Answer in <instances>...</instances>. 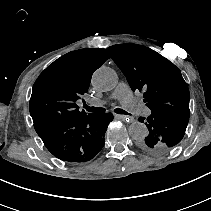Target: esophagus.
I'll use <instances>...</instances> for the list:
<instances>
[{"mask_svg": "<svg viewBox=\"0 0 211 211\" xmlns=\"http://www.w3.org/2000/svg\"><path fill=\"white\" fill-rule=\"evenodd\" d=\"M115 117L118 118V119L124 120L125 123H127V124L134 120L133 117H129V116H126V115L115 114Z\"/></svg>", "mask_w": 211, "mask_h": 211, "instance_id": "1", "label": "esophagus"}]
</instances>
